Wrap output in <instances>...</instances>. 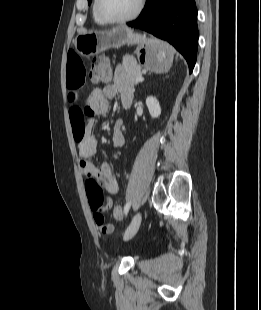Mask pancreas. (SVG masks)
I'll return each mask as SVG.
<instances>
[{
  "mask_svg": "<svg viewBox=\"0 0 261 310\" xmlns=\"http://www.w3.org/2000/svg\"><path fill=\"white\" fill-rule=\"evenodd\" d=\"M124 67V81L130 86L136 85L138 82L136 78L142 76V68L137 64L135 59L130 56H125L123 58Z\"/></svg>",
  "mask_w": 261,
  "mask_h": 310,
  "instance_id": "1",
  "label": "pancreas"
}]
</instances>
